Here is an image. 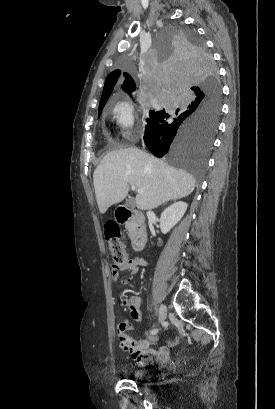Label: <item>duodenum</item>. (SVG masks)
<instances>
[{
    "mask_svg": "<svg viewBox=\"0 0 275 409\" xmlns=\"http://www.w3.org/2000/svg\"><path fill=\"white\" fill-rule=\"evenodd\" d=\"M115 215L116 220L120 224H129L131 226L132 246L137 251L142 250L147 241V231L143 215L125 206L118 207Z\"/></svg>",
    "mask_w": 275,
    "mask_h": 409,
    "instance_id": "410a0bca",
    "label": "duodenum"
}]
</instances>
